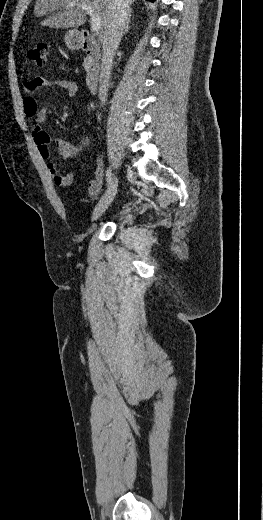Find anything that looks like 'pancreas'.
<instances>
[{
  "label": "pancreas",
  "instance_id": "obj_1",
  "mask_svg": "<svg viewBox=\"0 0 263 520\" xmlns=\"http://www.w3.org/2000/svg\"><path fill=\"white\" fill-rule=\"evenodd\" d=\"M90 61H91V58H88V57L85 58L84 63H83V66L85 69H87L89 67Z\"/></svg>",
  "mask_w": 263,
  "mask_h": 520
}]
</instances>
